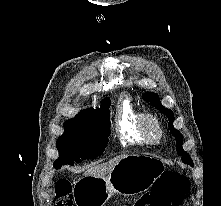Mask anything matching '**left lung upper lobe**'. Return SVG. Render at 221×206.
Masks as SVG:
<instances>
[{"mask_svg": "<svg viewBox=\"0 0 221 206\" xmlns=\"http://www.w3.org/2000/svg\"><path fill=\"white\" fill-rule=\"evenodd\" d=\"M143 99H145L146 101H149L154 107L159 109L161 112H163L168 117L170 132L175 136V139H176V144H177L176 150H177L178 155L182 156V162H184L185 164L193 166V162H192L191 157L182 148L183 136L173 126V122H174V114H173V112L171 110L165 108L161 104V102L159 100V96L156 93L146 92L143 95Z\"/></svg>", "mask_w": 221, "mask_h": 206, "instance_id": "1", "label": "left lung upper lobe"}]
</instances>
